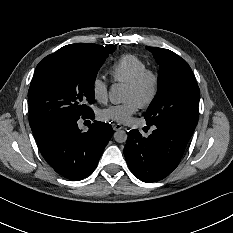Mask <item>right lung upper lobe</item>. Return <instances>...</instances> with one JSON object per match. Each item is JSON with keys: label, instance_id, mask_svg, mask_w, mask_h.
I'll use <instances>...</instances> for the list:
<instances>
[{"label": "right lung upper lobe", "instance_id": "cb5924a9", "mask_svg": "<svg viewBox=\"0 0 233 233\" xmlns=\"http://www.w3.org/2000/svg\"><path fill=\"white\" fill-rule=\"evenodd\" d=\"M60 49L75 50L85 56L92 58H106L109 54L114 52L115 46L113 45L100 46L97 44L78 43V44L66 45Z\"/></svg>", "mask_w": 233, "mask_h": 233}]
</instances>
